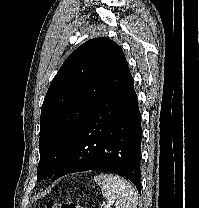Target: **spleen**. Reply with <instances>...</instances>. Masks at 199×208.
<instances>
[{"label":"spleen","mask_w":199,"mask_h":208,"mask_svg":"<svg viewBox=\"0 0 199 208\" xmlns=\"http://www.w3.org/2000/svg\"><path fill=\"white\" fill-rule=\"evenodd\" d=\"M94 181L101 187L103 197L115 208H136L138 193L127 180L118 175L100 174L94 177Z\"/></svg>","instance_id":"spleen-1"}]
</instances>
